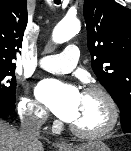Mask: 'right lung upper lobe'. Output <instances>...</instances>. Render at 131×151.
I'll list each match as a JSON object with an SVG mask.
<instances>
[{
  "label": "right lung upper lobe",
  "instance_id": "1",
  "mask_svg": "<svg viewBox=\"0 0 131 151\" xmlns=\"http://www.w3.org/2000/svg\"><path fill=\"white\" fill-rule=\"evenodd\" d=\"M26 25V0H0V66H16Z\"/></svg>",
  "mask_w": 131,
  "mask_h": 151
}]
</instances>
